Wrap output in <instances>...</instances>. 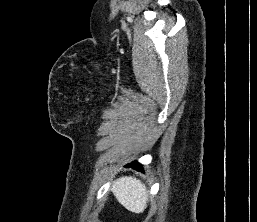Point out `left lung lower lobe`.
<instances>
[{
  "instance_id": "left-lung-lower-lobe-1",
  "label": "left lung lower lobe",
  "mask_w": 257,
  "mask_h": 222,
  "mask_svg": "<svg viewBox=\"0 0 257 222\" xmlns=\"http://www.w3.org/2000/svg\"><path fill=\"white\" fill-rule=\"evenodd\" d=\"M126 167H132V168H135L137 170H141L142 169V165L136 161L126 165Z\"/></svg>"
}]
</instances>
